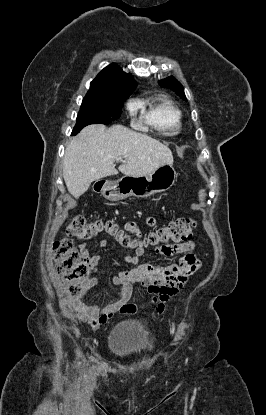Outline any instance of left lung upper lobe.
Segmentation results:
<instances>
[{"mask_svg":"<svg viewBox=\"0 0 266 415\" xmlns=\"http://www.w3.org/2000/svg\"><path fill=\"white\" fill-rule=\"evenodd\" d=\"M160 86L169 88L176 92L183 100H187L184 94V88L181 83L175 79L173 76H170L164 80L159 81Z\"/></svg>","mask_w":266,"mask_h":415,"instance_id":"obj_1","label":"left lung upper lobe"}]
</instances>
